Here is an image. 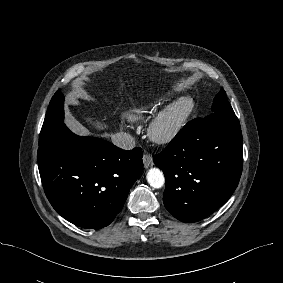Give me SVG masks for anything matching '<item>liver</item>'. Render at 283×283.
<instances>
[{"label":"liver","instance_id":"liver-1","mask_svg":"<svg viewBox=\"0 0 283 283\" xmlns=\"http://www.w3.org/2000/svg\"><path fill=\"white\" fill-rule=\"evenodd\" d=\"M85 120L88 124H90L91 126H93L94 128H96L98 130H102V129L106 128V126L104 124H102L100 121H97V120L94 121L93 117L88 116V117L85 118ZM70 123L80 132H82L84 134L88 132V130L84 126H82L73 117L70 118Z\"/></svg>","mask_w":283,"mask_h":283}]
</instances>
